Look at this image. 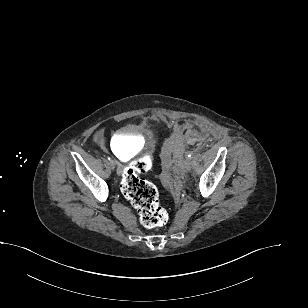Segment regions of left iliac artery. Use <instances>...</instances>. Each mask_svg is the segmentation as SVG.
Instances as JSON below:
<instances>
[{"label": "left iliac artery", "instance_id": "left-iliac-artery-1", "mask_svg": "<svg viewBox=\"0 0 308 308\" xmlns=\"http://www.w3.org/2000/svg\"><path fill=\"white\" fill-rule=\"evenodd\" d=\"M192 155H193V152H187V157H188V158H191Z\"/></svg>", "mask_w": 308, "mask_h": 308}]
</instances>
